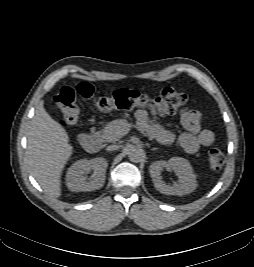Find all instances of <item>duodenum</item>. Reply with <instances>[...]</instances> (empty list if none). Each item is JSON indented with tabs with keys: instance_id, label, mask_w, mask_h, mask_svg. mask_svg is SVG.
I'll list each match as a JSON object with an SVG mask.
<instances>
[{
	"instance_id": "1",
	"label": "duodenum",
	"mask_w": 254,
	"mask_h": 267,
	"mask_svg": "<svg viewBox=\"0 0 254 267\" xmlns=\"http://www.w3.org/2000/svg\"><path fill=\"white\" fill-rule=\"evenodd\" d=\"M78 141L88 152L95 153L101 149V139L95 132L79 135Z\"/></svg>"
}]
</instances>
